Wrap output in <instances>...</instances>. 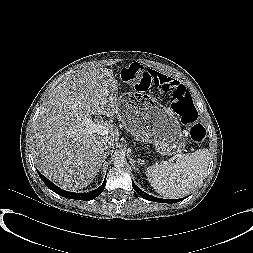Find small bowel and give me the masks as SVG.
Segmentation results:
<instances>
[{
    "label": "small bowel",
    "instance_id": "c3829d8e",
    "mask_svg": "<svg viewBox=\"0 0 253 253\" xmlns=\"http://www.w3.org/2000/svg\"><path fill=\"white\" fill-rule=\"evenodd\" d=\"M134 84L136 88L141 90H165L178 85L179 82L165 74L150 70L147 73V78L140 79Z\"/></svg>",
    "mask_w": 253,
    "mask_h": 253
}]
</instances>
